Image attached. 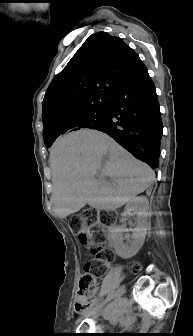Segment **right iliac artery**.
<instances>
[{"instance_id":"obj_1","label":"right iliac artery","mask_w":193,"mask_h":336,"mask_svg":"<svg viewBox=\"0 0 193 336\" xmlns=\"http://www.w3.org/2000/svg\"><path fill=\"white\" fill-rule=\"evenodd\" d=\"M117 299L115 302H112L108 305V307H113L114 305H116ZM95 306V304H94ZM102 305H97L96 307H101ZM93 308V305L91 307H89L87 310L84 311V313H86L88 310H91Z\"/></svg>"}]
</instances>
